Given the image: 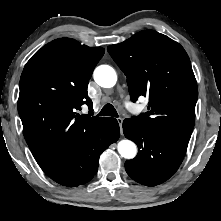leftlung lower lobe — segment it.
<instances>
[{
  "mask_svg": "<svg viewBox=\"0 0 221 221\" xmlns=\"http://www.w3.org/2000/svg\"><path fill=\"white\" fill-rule=\"evenodd\" d=\"M123 132L139 149L134 159L125 162V169L133 180L155 186L177 171L188 144L162 137L133 118L123 121Z\"/></svg>",
  "mask_w": 221,
  "mask_h": 221,
  "instance_id": "0a47b994",
  "label": "left lung lower lobe"
}]
</instances>
